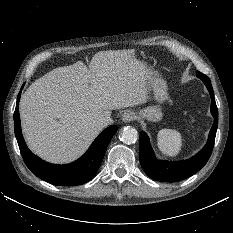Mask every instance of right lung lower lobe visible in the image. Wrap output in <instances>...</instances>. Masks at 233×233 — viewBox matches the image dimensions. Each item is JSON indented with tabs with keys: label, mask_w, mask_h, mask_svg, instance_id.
I'll list each match as a JSON object with an SVG mask.
<instances>
[{
	"label": "right lung lower lobe",
	"mask_w": 233,
	"mask_h": 233,
	"mask_svg": "<svg viewBox=\"0 0 233 233\" xmlns=\"http://www.w3.org/2000/svg\"><path fill=\"white\" fill-rule=\"evenodd\" d=\"M20 94L21 91L18 94L16 109L14 112V130L21 155L27 167L37 177L53 185L75 186L84 184L91 180L100 167L106 148L117 131L118 126L112 125L102 131L91 144L87 152L77 161L67 165L50 164L38 158L26 146L21 132L19 118L18 105Z\"/></svg>",
	"instance_id": "obj_1"
}]
</instances>
